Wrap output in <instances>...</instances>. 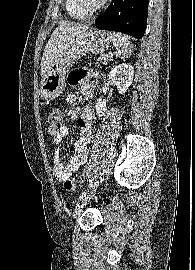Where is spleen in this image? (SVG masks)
<instances>
[{
	"label": "spleen",
	"mask_w": 195,
	"mask_h": 270,
	"mask_svg": "<svg viewBox=\"0 0 195 270\" xmlns=\"http://www.w3.org/2000/svg\"><path fill=\"white\" fill-rule=\"evenodd\" d=\"M109 34L117 51V56L121 59L128 58L133 51L132 43L120 33L111 32Z\"/></svg>",
	"instance_id": "3e777b00"
}]
</instances>
